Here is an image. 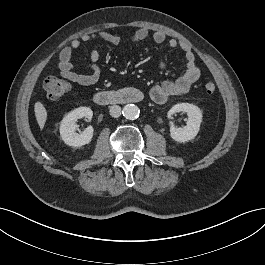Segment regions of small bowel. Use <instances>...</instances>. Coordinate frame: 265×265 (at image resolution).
I'll return each mask as SVG.
<instances>
[{"instance_id":"obj_1","label":"small bowel","mask_w":265,"mask_h":265,"mask_svg":"<svg viewBox=\"0 0 265 265\" xmlns=\"http://www.w3.org/2000/svg\"><path fill=\"white\" fill-rule=\"evenodd\" d=\"M150 35L147 28L141 27L131 36L129 42L136 44L145 40ZM152 39L158 44L167 42L171 49H180L185 60V72L175 80L163 81L155 85L150 91L151 99L157 104H165L172 97L186 94L192 85L197 82L201 76L200 68L196 64L195 55L191 46L186 42H179L174 38H168L162 31H156L152 34ZM101 40L112 45H120L122 38L119 35L109 32H98L94 34L83 35L79 39H74L70 44L64 47L59 55L60 75L75 84L81 86H90L96 84L101 77L100 51L94 47L89 53V60L84 65L88 73H79L76 71V65L72 62V56L75 50L81 48L84 42ZM162 65V64H161Z\"/></svg>"}]
</instances>
